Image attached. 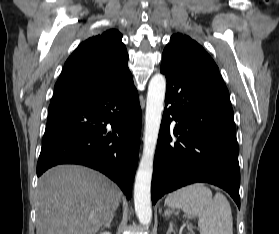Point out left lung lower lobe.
Listing matches in <instances>:
<instances>
[{
	"instance_id": "0a47b994",
	"label": "left lung lower lobe",
	"mask_w": 279,
	"mask_h": 234,
	"mask_svg": "<svg viewBox=\"0 0 279 234\" xmlns=\"http://www.w3.org/2000/svg\"><path fill=\"white\" fill-rule=\"evenodd\" d=\"M160 72L166 76L167 89L152 203L182 186L207 182L227 191L240 208L239 147L229 92L220 73L188 66L168 53L162 54Z\"/></svg>"
}]
</instances>
